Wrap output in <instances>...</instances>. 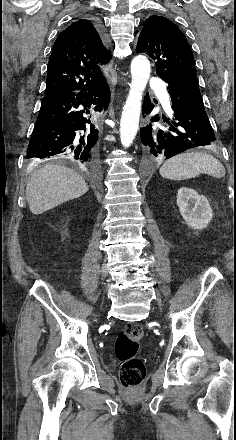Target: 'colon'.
<instances>
[{
    "instance_id": "1",
    "label": "colon",
    "mask_w": 236,
    "mask_h": 440,
    "mask_svg": "<svg viewBox=\"0 0 236 440\" xmlns=\"http://www.w3.org/2000/svg\"><path fill=\"white\" fill-rule=\"evenodd\" d=\"M143 330L136 323L127 324L115 342V355L121 362L120 380L126 389L139 387L146 377L144 362L137 357Z\"/></svg>"
}]
</instances>
